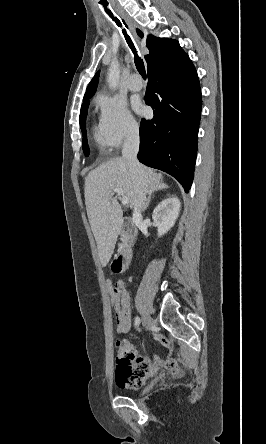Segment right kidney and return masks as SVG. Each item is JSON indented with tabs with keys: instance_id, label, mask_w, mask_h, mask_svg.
<instances>
[{
	"instance_id": "right-kidney-1",
	"label": "right kidney",
	"mask_w": 266,
	"mask_h": 444,
	"mask_svg": "<svg viewBox=\"0 0 266 444\" xmlns=\"http://www.w3.org/2000/svg\"><path fill=\"white\" fill-rule=\"evenodd\" d=\"M179 211L180 201L177 197H169L157 205L152 218L158 228V237L166 234L174 226Z\"/></svg>"
}]
</instances>
